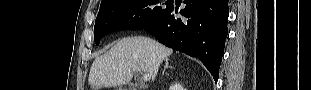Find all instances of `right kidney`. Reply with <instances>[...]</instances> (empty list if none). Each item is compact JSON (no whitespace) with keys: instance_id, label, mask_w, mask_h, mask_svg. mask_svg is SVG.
<instances>
[{"instance_id":"ca27d5eb","label":"right kidney","mask_w":311,"mask_h":90,"mask_svg":"<svg viewBox=\"0 0 311 90\" xmlns=\"http://www.w3.org/2000/svg\"><path fill=\"white\" fill-rule=\"evenodd\" d=\"M176 90H183L181 86H176Z\"/></svg>"}]
</instances>
